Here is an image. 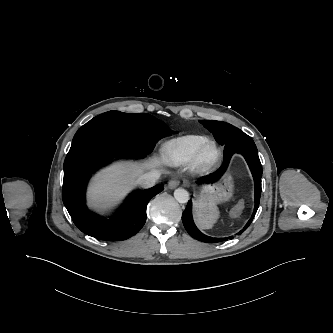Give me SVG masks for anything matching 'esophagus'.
I'll use <instances>...</instances> for the list:
<instances>
[{
    "instance_id": "obj_1",
    "label": "esophagus",
    "mask_w": 333,
    "mask_h": 333,
    "mask_svg": "<svg viewBox=\"0 0 333 333\" xmlns=\"http://www.w3.org/2000/svg\"><path fill=\"white\" fill-rule=\"evenodd\" d=\"M180 184V181L177 178H172L168 182V188L169 189H175Z\"/></svg>"
}]
</instances>
